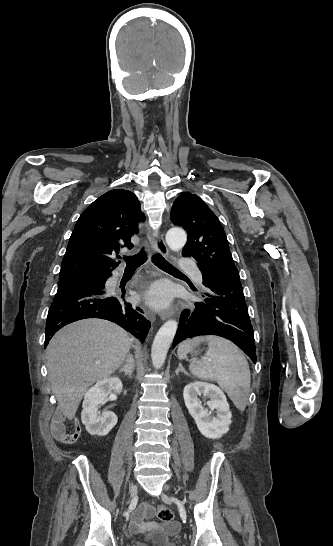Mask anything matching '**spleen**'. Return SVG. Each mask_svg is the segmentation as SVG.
<instances>
[{"label":"spleen","instance_id":"3e777b00","mask_svg":"<svg viewBox=\"0 0 333 546\" xmlns=\"http://www.w3.org/2000/svg\"><path fill=\"white\" fill-rule=\"evenodd\" d=\"M204 341L208 344L206 355L202 360H192L190 371L199 379L217 382L234 405L244 410L250 394V369L236 345L218 336L196 337L179 345L178 357L185 359L195 345Z\"/></svg>","mask_w":333,"mask_h":546}]
</instances>
